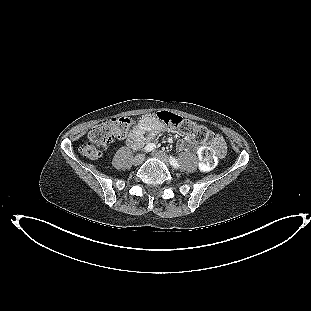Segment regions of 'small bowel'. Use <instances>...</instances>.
<instances>
[{
    "label": "small bowel",
    "mask_w": 311,
    "mask_h": 311,
    "mask_svg": "<svg viewBox=\"0 0 311 311\" xmlns=\"http://www.w3.org/2000/svg\"><path fill=\"white\" fill-rule=\"evenodd\" d=\"M164 130H166V127L158 118L153 115H147L141 118L139 126L132 134L129 135L127 142L131 147L139 148L146 139L151 140ZM190 144L191 142L189 139H183L179 141L177 147L180 150H184Z\"/></svg>",
    "instance_id": "small-bowel-1"
}]
</instances>
